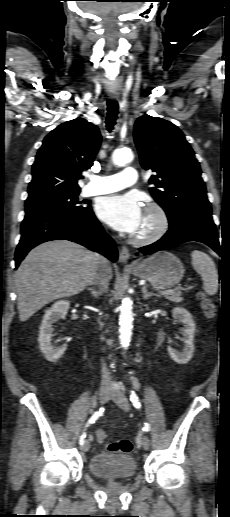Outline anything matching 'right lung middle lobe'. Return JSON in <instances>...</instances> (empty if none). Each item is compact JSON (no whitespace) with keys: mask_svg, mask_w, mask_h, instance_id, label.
<instances>
[{"mask_svg":"<svg viewBox=\"0 0 230 517\" xmlns=\"http://www.w3.org/2000/svg\"><path fill=\"white\" fill-rule=\"evenodd\" d=\"M79 192L80 191H76L66 194L48 196L37 200L26 201L25 212L30 213L43 210H56L68 213L84 212L85 210L90 209V206H84L82 205L83 202L77 201Z\"/></svg>","mask_w":230,"mask_h":517,"instance_id":"dd1d6c3e","label":"right lung middle lobe"}]
</instances>
